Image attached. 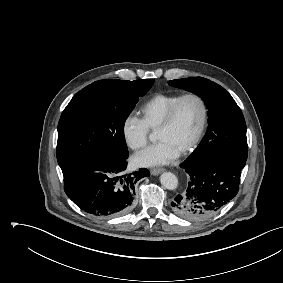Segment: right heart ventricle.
Instances as JSON below:
<instances>
[{
  "label": "right heart ventricle",
  "instance_id": "right-heart-ventricle-1",
  "mask_svg": "<svg viewBox=\"0 0 283 283\" xmlns=\"http://www.w3.org/2000/svg\"><path fill=\"white\" fill-rule=\"evenodd\" d=\"M181 94L159 93L152 96L140 108L142 120L149 130L156 131L163 122L171 106Z\"/></svg>",
  "mask_w": 283,
  "mask_h": 283
}]
</instances>
